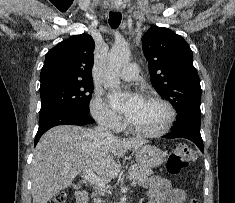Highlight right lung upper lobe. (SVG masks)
I'll return each mask as SVG.
<instances>
[{"label": "right lung upper lobe", "mask_w": 235, "mask_h": 203, "mask_svg": "<svg viewBox=\"0 0 235 203\" xmlns=\"http://www.w3.org/2000/svg\"><path fill=\"white\" fill-rule=\"evenodd\" d=\"M95 43L87 34L72 36L53 47L41 69V86L57 81H92Z\"/></svg>", "instance_id": "1"}]
</instances>
